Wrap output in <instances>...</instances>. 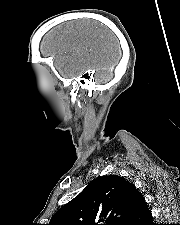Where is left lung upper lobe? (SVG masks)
<instances>
[{
	"label": "left lung upper lobe",
	"mask_w": 180,
	"mask_h": 225,
	"mask_svg": "<svg viewBox=\"0 0 180 225\" xmlns=\"http://www.w3.org/2000/svg\"><path fill=\"white\" fill-rule=\"evenodd\" d=\"M145 206L133 184L120 176H103L58 210L48 225H124Z\"/></svg>",
	"instance_id": "5c2ea615"
}]
</instances>
